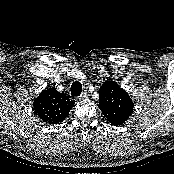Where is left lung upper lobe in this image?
<instances>
[{
	"instance_id": "5c2ea615",
	"label": "left lung upper lobe",
	"mask_w": 174,
	"mask_h": 174,
	"mask_svg": "<svg viewBox=\"0 0 174 174\" xmlns=\"http://www.w3.org/2000/svg\"><path fill=\"white\" fill-rule=\"evenodd\" d=\"M129 94L115 81L105 82L99 89V108L114 126L123 125L133 112Z\"/></svg>"
}]
</instances>
